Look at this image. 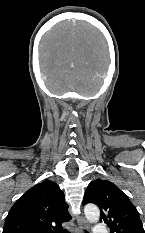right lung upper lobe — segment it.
Wrapping results in <instances>:
<instances>
[{"mask_svg": "<svg viewBox=\"0 0 145 233\" xmlns=\"http://www.w3.org/2000/svg\"><path fill=\"white\" fill-rule=\"evenodd\" d=\"M64 193L52 181H43L23 194L6 217L2 233H62L71 219Z\"/></svg>", "mask_w": 145, "mask_h": 233, "instance_id": "1", "label": "right lung upper lobe"}]
</instances>
